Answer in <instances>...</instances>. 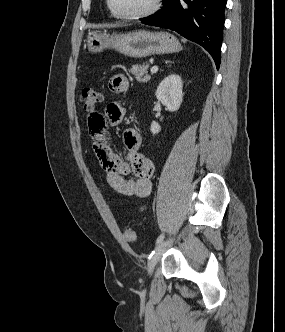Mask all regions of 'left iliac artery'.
<instances>
[{"mask_svg":"<svg viewBox=\"0 0 285 332\" xmlns=\"http://www.w3.org/2000/svg\"><path fill=\"white\" fill-rule=\"evenodd\" d=\"M164 234L162 233V234H160L159 235V237L157 238V240H156V244L158 245L159 243H161L162 241H163V239H164ZM153 253H155V252H153ZM152 253V254H153ZM152 256V255H151Z\"/></svg>","mask_w":285,"mask_h":332,"instance_id":"1","label":"left iliac artery"}]
</instances>
